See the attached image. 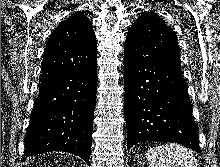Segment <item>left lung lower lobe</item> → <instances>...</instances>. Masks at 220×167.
<instances>
[{"label":"left lung lower lobe","instance_id":"0a47b994","mask_svg":"<svg viewBox=\"0 0 220 167\" xmlns=\"http://www.w3.org/2000/svg\"><path fill=\"white\" fill-rule=\"evenodd\" d=\"M128 149L141 141L175 142L201 152L181 69L124 53Z\"/></svg>","mask_w":220,"mask_h":167}]
</instances>
